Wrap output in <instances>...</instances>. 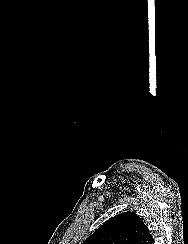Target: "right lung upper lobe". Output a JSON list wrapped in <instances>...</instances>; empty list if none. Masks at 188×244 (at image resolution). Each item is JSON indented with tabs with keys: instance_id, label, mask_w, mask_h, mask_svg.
<instances>
[{
	"instance_id": "cb5924a9",
	"label": "right lung upper lobe",
	"mask_w": 188,
	"mask_h": 244,
	"mask_svg": "<svg viewBox=\"0 0 188 244\" xmlns=\"http://www.w3.org/2000/svg\"><path fill=\"white\" fill-rule=\"evenodd\" d=\"M82 244H154L143 220L132 212L107 220Z\"/></svg>"
}]
</instances>
